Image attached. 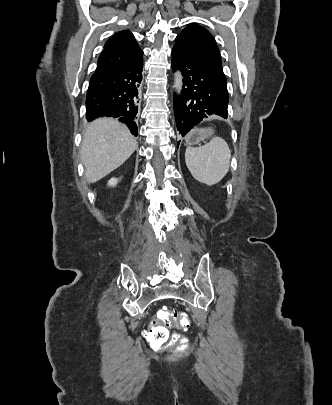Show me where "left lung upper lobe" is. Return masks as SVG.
<instances>
[{"mask_svg":"<svg viewBox=\"0 0 332 405\" xmlns=\"http://www.w3.org/2000/svg\"><path fill=\"white\" fill-rule=\"evenodd\" d=\"M174 47L211 69L227 85L219 48L211 33L204 27L195 23L187 25L176 37Z\"/></svg>","mask_w":332,"mask_h":405,"instance_id":"1","label":"left lung upper lobe"}]
</instances>
